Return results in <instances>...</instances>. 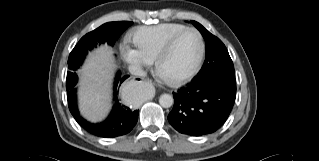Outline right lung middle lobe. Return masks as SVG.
Instances as JSON below:
<instances>
[{"label": "right lung middle lobe", "instance_id": "1", "mask_svg": "<svg viewBox=\"0 0 319 161\" xmlns=\"http://www.w3.org/2000/svg\"><path fill=\"white\" fill-rule=\"evenodd\" d=\"M131 24L132 22L129 21L109 22L83 36L69 55L66 89L76 85L77 75L75 71L82 64L88 50H91L97 43L107 42L113 46L119 36Z\"/></svg>", "mask_w": 319, "mask_h": 161}]
</instances>
